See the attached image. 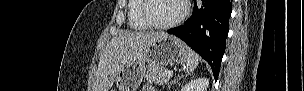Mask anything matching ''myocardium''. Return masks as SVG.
<instances>
[{
  "instance_id": "f54148a6",
  "label": "myocardium",
  "mask_w": 304,
  "mask_h": 91,
  "mask_svg": "<svg viewBox=\"0 0 304 91\" xmlns=\"http://www.w3.org/2000/svg\"><path fill=\"white\" fill-rule=\"evenodd\" d=\"M150 2H151V0H142L141 15H142L143 20L150 26V28H153V29L167 30V29L174 28L185 20V18L188 15V12H189L188 2L186 0H180V2L182 4L181 14L176 19H174L173 21H171L169 23L159 24V23L154 22L149 15Z\"/></svg>"
}]
</instances>
